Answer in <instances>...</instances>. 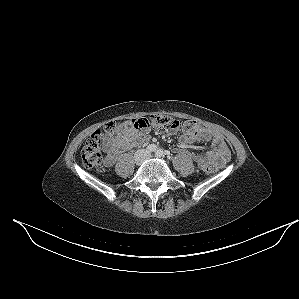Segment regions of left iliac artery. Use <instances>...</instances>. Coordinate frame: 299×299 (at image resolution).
<instances>
[{
	"label": "left iliac artery",
	"instance_id": "44dca946",
	"mask_svg": "<svg viewBox=\"0 0 299 299\" xmlns=\"http://www.w3.org/2000/svg\"><path fill=\"white\" fill-rule=\"evenodd\" d=\"M166 153L162 150V149H158L155 153L156 157H162L164 156Z\"/></svg>",
	"mask_w": 299,
	"mask_h": 299
}]
</instances>
